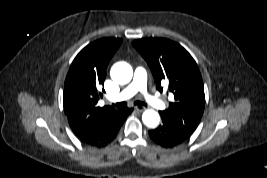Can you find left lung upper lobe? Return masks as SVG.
Returning <instances> with one entry per match:
<instances>
[{"label": "left lung upper lobe", "mask_w": 267, "mask_h": 178, "mask_svg": "<svg viewBox=\"0 0 267 178\" xmlns=\"http://www.w3.org/2000/svg\"><path fill=\"white\" fill-rule=\"evenodd\" d=\"M133 46L148 63L158 90L166 84L174 95L161 117L172 120L191 135L202 118L205 94L202 77L192 56L178 43L165 38L135 40Z\"/></svg>", "instance_id": "5c2ea615"}]
</instances>
